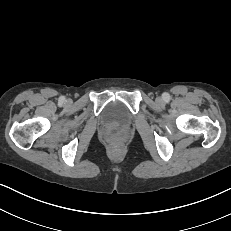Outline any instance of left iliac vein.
Segmentation results:
<instances>
[{
	"label": "left iliac vein",
	"instance_id": "4c4485c4",
	"mask_svg": "<svg viewBox=\"0 0 231 231\" xmlns=\"http://www.w3.org/2000/svg\"><path fill=\"white\" fill-rule=\"evenodd\" d=\"M156 102H157L158 104H162V103H164V100H163L162 97H157V98H156Z\"/></svg>",
	"mask_w": 231,
	"mask_h": 231
}]
</instances>
